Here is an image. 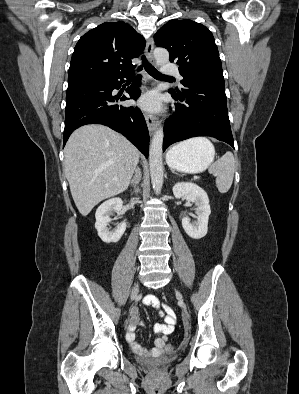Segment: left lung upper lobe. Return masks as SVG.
<instances>
[{
	"mask_svg": "<svg viewBox=\"0 0 299 394\" xmlns=\"http://www.w3.org/2000/svg\"><path fill=\"white\" fill-rule=\"evenodd\" d=\"M159 47L169 51L186 81L197 77L224 79L218 48L212 33L202 24L189 19H173L154 35Z\"/></svg>",
	"mask_w": 299,
	"mask_h": 394,
	"instance_id": "5c2ea615",
	"label": "left lung upper lobe"
}]
</instances>
